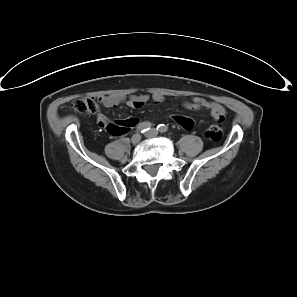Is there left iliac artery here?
Masks as SVG:
<instances>
[{
  "label": "left iliac artery",
  "mask_w": 297,
  "mask_h": 297,
  "mask_svg": "<svg viewBox=\"0 0 297 297\" xmlns=\"http://www.w3.org/2000/svg\"><path fill=\"white\" fill-rule=\"evenodd\" d=\"M167 129L168 128L164 124H161V125L157 126V130H159L161 133L166 132Z\"/></svg>",
  "instance_id": "obj_1"
}]
</instances>
